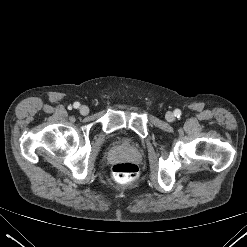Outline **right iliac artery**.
I'll return each mask as SVG.
<instances>
[{"instance_id":"82829eb1","label":"right iliac artery","mask_w":247,"mask_h":247,"mask_svg":"<svg viewBox=\"0 0 247 247\" xmlns=\"http://www.w3.org/2000/svg\"><path fill=\"white\" fill-rule=\"evenodd\" d=\"M79 106H80V104H79L78 102H75V103L73 104V107L76 108V109L79 108Z\"/></svg>"}]
</instances>
